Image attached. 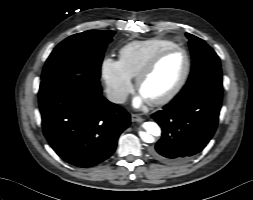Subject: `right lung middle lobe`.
I'll return each instance as SVG.
<instances>
[{
	"mask_svg": "<svg viewBox=\"0 0 253 200\" xmlns=\"http://www.w3.org/2000/svg\"><path fill=\"white\" fill-rule=\"evenodd\" d=\"M114 31L90 30L72 35L52 51L42 73V80L82 71L93 80H99L106 46Z\"/></svg>",
	"mask_w": 253,
	"mask_h": 200,
	"instance_id": "dd1d6c3e",
	"label": "right lung middle lobe"
}]
</instances>
